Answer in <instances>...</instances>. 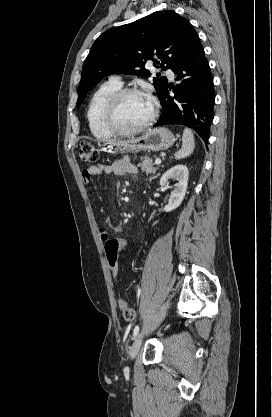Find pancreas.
Returning <instances> with one entry per match:
<instances>
[{
  "mask_svg": "<svg viewBox=\"0 0 272 417\" xmlns=\"http://www.w3.org/2000/svg\"><path fill=\"white\" fill-rule=\"evenodd\" d=\"M142 162L138 164L141 170L146 174L155 173L157 171V167H153V161L149 157L142 158Z\"/></svg>",
  "mask_w": 272,
  "mask_h": 417,
  "instance_id": "1",
  "label": "pancreas"
}]
</instances>
